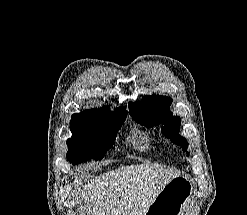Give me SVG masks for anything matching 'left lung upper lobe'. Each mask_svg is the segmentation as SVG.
<instances>
[{"label":"left lung upper lobe","mask_w":247,"mask_h":215,"mask_svg":"<svg viewBox=\"0 0 247 215\" xmlns=\"http://www.w3.org/2000/svg\"><path fill=\"white\" fill-rule=\"evenodd\" d=\"M172 99L166 96L151 95L145 96L141 102L129 103V113L132 117L143 123L146 127H153L159 123H163L162 133L172 138V141L182 146L187 151L186 139L178 135L181 119L173 116L169 111Z\"/></svg>","instance_id":"obj_1"}]
</instances>
